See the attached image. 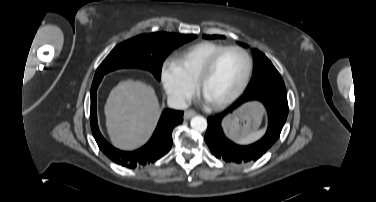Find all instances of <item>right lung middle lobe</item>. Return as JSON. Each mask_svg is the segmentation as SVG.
<instances>
[{"label": "right lung middle lobe", "instance_id": "right-lung-middle-lobe-1", "mask_svg": "<svg viewBox=\"0 0 376 202\" xmlns=\"http://www.w3.org/2000/svg\"><path fill=\"white\" fill-rule=\"evenodd\" d=\"M197 35L167 32L143 34L117 45L98 67L94 81L119 68L147 69L160 80L163 61L180 45L195 39Z\"/></svg>", "mask_w": 376, "mask_h": 202}]
</instances>
